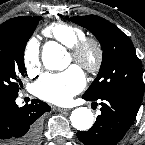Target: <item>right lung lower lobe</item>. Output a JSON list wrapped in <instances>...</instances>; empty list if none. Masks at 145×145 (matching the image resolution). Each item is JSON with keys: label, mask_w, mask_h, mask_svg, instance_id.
<instances>
[{"label": "right lung lower lobe", "mask_w": 145, "mask_h": 145, "mask_svg": "<svg viewBox=\"0 0 145 145\" xmlns=\"http://www.w3.org/2000/svg\"><path fill=\"white\" fill-rule=\"evenodd\" d=\"M17 96V93L0 90V145H37L39 117L51 107L38 99L18 107Z\"/></svg>", "instance_id": "obj_1"}]
</instances>
